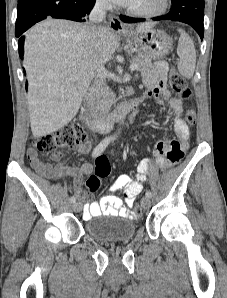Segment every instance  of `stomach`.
Segmentation results:
<instances>
[{
  "instance_id": "0dacf381",
  "label": "stomach",
  "mask_w": 227,
  "mask_h": 298,
  "mask_svg": "<svg viewBox=\"0 0 227 298\" xmlns=\"http://www.w3.org/2000/svg\"><path fill=\"white\" fill-rule=\"evenodd\" d=\"M124 35L138 44L144 54L151 59H163L172 48L171 38L158 29L152 28L141 34L135 31H124Z\"/></svg>"
}]
</instances>
